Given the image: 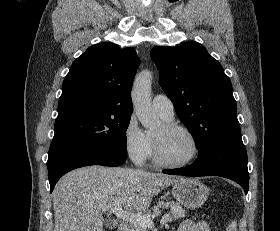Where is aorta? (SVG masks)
Instances as JSON below:
<instances>
[{"instance_id": "obj_1", "label": "aorta", "mask_w": 280, "mask_h": 231, "mask_svg": "<svg viewBox=\"0 0 280 231\" xmlns=\"http://www.w3.org/2000/svg\"><path fill=\"white\" fill-rule=\"evenodd\" d=\"M152 74L149 70H142L136 76L131 92L134 112L147 129H158L161 119L155 116L151 108Z\"/></svg>"}]
</instances>
